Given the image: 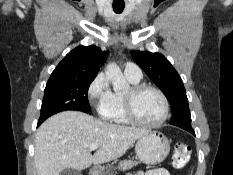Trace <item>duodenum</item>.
Masks as SVG:
<instances>
[{
    "mask_svg": "<svg viewBox=\"0 0 233 175\" xmlns=\"http://www.w3.org/2000/svg\"><path fill=\"white\" fill-rule=\"evenodd\" d=\"M93 175H98L97 170H94V171H93Z\"/></svg>",
    "mask_w": 233,
    "mask_h": 175,
    "instance_id": "obj_1",
    "label": "duodenum"
}]
</instances>
